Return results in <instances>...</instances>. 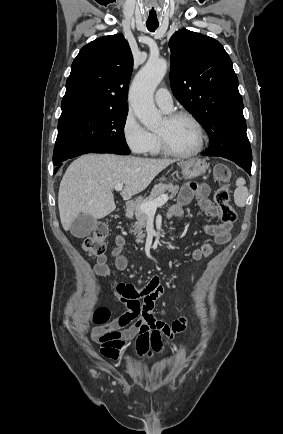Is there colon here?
<instances>
[{"label":"colon","mask_w":283,"mask_h":434,"mask_svg":"<svg viewBox=\"0 0 283 434\" xmlns=\"http://www.w3.org/2000/svg\"><path fill=\"white\" fill-rule=\"evenodd\" d=\"M214 176L221 184L215 192L214 200L220 211L221 220L224 223H233L236 220V212L230 204V192L227 182L230 178V170L226 165L217 164L214 167ZM108 230L104 225L89 234L82 243L84 251L92 257L104 255L107 247ZM109 318V312L106 308H98L93 314V322L97 325H103Z\"/></svg>","instance_id":"colon-1"}]
</instances>
